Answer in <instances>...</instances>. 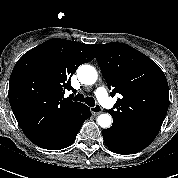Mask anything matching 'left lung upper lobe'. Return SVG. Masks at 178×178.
<instances>
[{"instance_id":"obj_1","label":"left lung upper lobe","mask_w":178,"mask_h":178,"mask_svg":"<svg viewBox=\"0 0 178 178\" xmlns=\"http://www.w3.org/2000/svg\"><path fill=\"white\" fill-rule=\"evenodd\" d=\"M111 96L121 94L113 109V125L153 141L169 106L167 79L160 67L135 48L118 42L93 44Z\"/></svg>"}]
</instances>
